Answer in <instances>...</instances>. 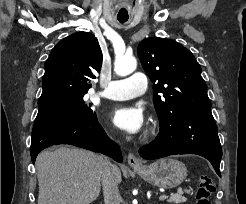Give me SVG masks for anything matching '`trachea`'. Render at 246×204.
Masks as SVG:
<instances>
[{
	"mask_svg": "<svg viewBox=\"0 0 246 204\" xmlns=\"http://www.w3.org/2000/svg\"><path fill=\"white\" fill-rule=\"evenodd\" d=\"M120 23H124L127 21V19H118Z\"/></svg>",
	"mask_w": 246,
	"mask_h": 204,
	"instance_id": "trachea-1",
	"label": "trachea"
}]
</instances>
